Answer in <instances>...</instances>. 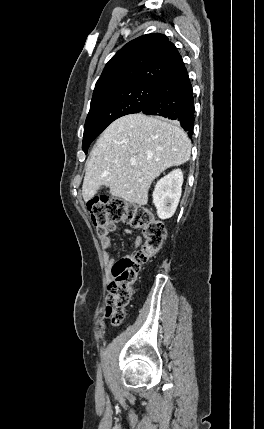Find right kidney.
Returning a JSON list of instances; mask_svg holds the SVG:
<instances>
[{"mask_svg":"<svg viewBox=\"0 0 264 429\" xmlns=\"http://www.w3.org/2000/svg\"><path fill=\"white\" fill-rule=\"evenodd\" d=\"M182 184L183 173L180 169L173 170L157 182L152 196L160 219L174 215L181 197Z\"/></svg>","mask_w":264,"mask_h":429,"instance_id":"obj_1","label":"right kidney"}]
</instances>
